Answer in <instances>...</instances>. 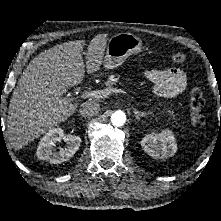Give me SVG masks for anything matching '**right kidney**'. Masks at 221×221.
Listing matches in <instances>:
<instances>
[{
	"mask_svg": "<svg viewBox=\"0 0 221 221\" xmlns=\"http://www.w3.org/2000/svg\"><path fill=\"white\" fill-rule=\"evenodd\" d=\"M64 140V148L55 150L57 142ZM81 138L76 135H65L61 128L49 130L41 139L36 155L40 160H46L51 164H59L68 161L79 149Z\"/></svg>",
	"mask_w": 221,
	"mask_h": 221,
	"instance_id": "obj_1",
	"label": "right kidney"
}]
</instances>
